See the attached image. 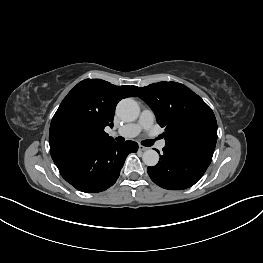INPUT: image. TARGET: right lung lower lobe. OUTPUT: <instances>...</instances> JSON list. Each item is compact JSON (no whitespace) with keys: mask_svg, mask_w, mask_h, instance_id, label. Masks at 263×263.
<instances>
[{"mask_svg":"<svg viewBox=\"0 0 263 263\" xmlns=\"http://www.w3.org/2000/svg\"><path fill=\"white\" fill-rule=\"evenodd\" d=\"M138 150L134 141L101 143L84 151L54 160L62 177L82 192H101L119 177L126 157Z\"/></svg>","mask_w":263,"mask_h":263,"instance_id":"1","label":"right lung lower lobe"}]
</instances>
